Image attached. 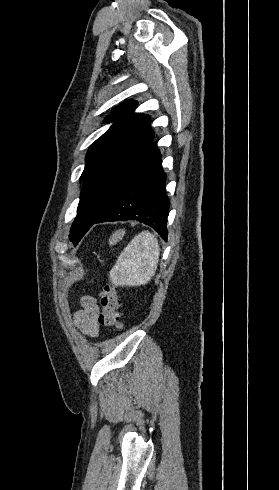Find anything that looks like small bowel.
<instances>
[{
  "mask_svg": "<svg viewBox=\"0 0 279 490\" xmlns=\"http://www.w3.org/2000/svg\"><path fill=\"white\" fill-rule=\"evenodd\" d=\"M81 308L75 312L74 321L78 329L89 337L99 335V305L93 296H83L80 299Z\"/></svg>",
  "mask_w": 279,
  "mask_h": 490,
  "instance_id": "obj_1",
  "label": "small bowel"
}]
</instances>
